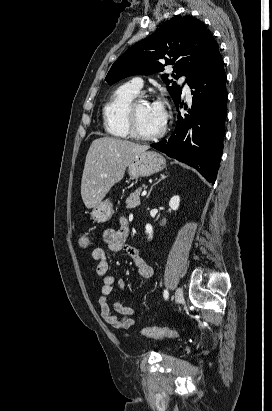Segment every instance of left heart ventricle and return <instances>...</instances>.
<instances>
[{
    "mask_svg": "<svg viewBox=\"0 0 272 411\" xmlns=\"http://www.w3.org/2000/svg\"><path fill=\"white\" fill-rule=\"evenodd\" d=\"M136 123L140 132L153 134L160 130L163 122L155 114L152 104L141 102L136 108Z\"/></svg>",
    "mask_w": 272,
    "mask_h": 411,
    "instance_id": "left-heart-ventricle-1",
    "label": "left heart ventricle"
}]
</instances>
